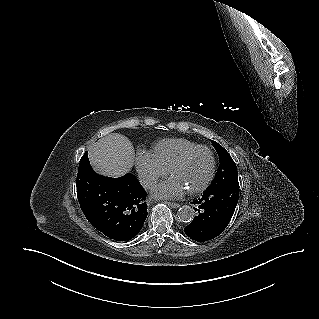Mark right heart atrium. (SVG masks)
<instances>
[{
	"instance_id": "right-heart-atrium-1",
	"label": "right heart atrium",
	"mask_w": 319,
	"mask_h": 319,
	"mask_svg": "<svg viewBox=\"0 0 319 319\" xmlns=\"http://www.w3.org/2000/svg\"><path fill=\"white\" fill-rule=\"evenodd\" d=\"M135 165L139 180L146 188H151L167 173V170L162 168L149 152H138L135 158Z\"/></svg>"
}]
</instances>
